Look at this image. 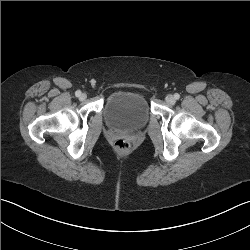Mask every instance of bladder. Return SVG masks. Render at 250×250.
Wrapping results in <instances>:
<instances>
[{"label":"bladder","mask_w":250,"mask_h":250,"mask_svg":"<svg viewBox=\"0 0 250 250\" xmlns=\"http://www.w3.org/2000/svg\"><path fill=\"white\" fill-rule=\"evenodd\" d=\"M108 125L120 131H136L143 128L150 117L146 99L139 93L117 91L112 93L104 107Z\"/></svg>","instance_id":"obj_1"}]
</instances>
